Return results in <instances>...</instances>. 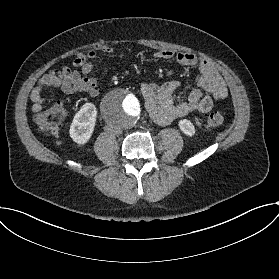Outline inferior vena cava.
<instances>
[{
    "mask_svg": "<svg viewBox=\"0 0 279 279\" xmlns=\"http://www.w3.org/2000/svg\"><path fill=\"white\" fill-rule=\"evenodd\" d=\"M112 132H113V134H115V135H120V134L122 133V131H121V130H118V129H116V130L112 129Z\"/></svg>",
    "mask_w": 279,
    "mask_h": 279,
    "instance_id": "602c4592",
    "label": "inferior vena cava"
}]
</instances>
